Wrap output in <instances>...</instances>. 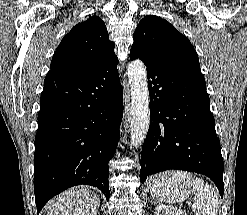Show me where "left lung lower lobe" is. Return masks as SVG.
<instances>
[{
  "instance_id": "obj_1",
  "label": "left lung lower lobe",
  "mask_w": 247,
  "mask_h": 215,
  "mask_svg": "<svg viewBox=\"0 0 247 215\" xmlns=\"http://www.w3.org/2000/svg\"><path fill=\"white\" fill-rule=\"evenodd\" d=\"M150 114L142 146L140 181L176 169L208 176L223 197V158L204 77L146 60Z\"/></svg>"
}]
</instances>
